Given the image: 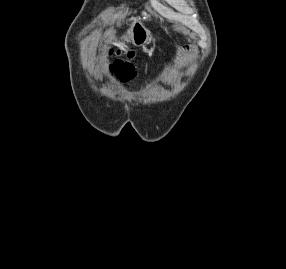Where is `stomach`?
Instances as JSON below:
<instances>
[{"label":"stomach","instance_id":"stomach-1","mask_svg":"<svg viewBox=\"0 0 286 269\" xmlns=\"http://www.w3.org/2000/svg\"><path fill=\"white\" fill-rule=\"evenodd\" d=\"M126 41L132 42L135 46L148 44L152 37L150 31L140 21H136L128 30L125 36Z\"/></svg>","mask_w":286,"mask_h":269}]
</instances>
